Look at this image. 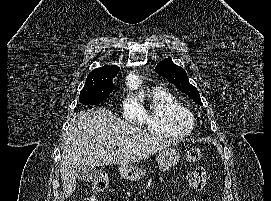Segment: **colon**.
Returning <instances> with one entry per match:
<instances>
[{
  "label": "colon",
  "mask_w": 271,
  "mask_h": 201,
  "mask_svg": "<svg viewBox=\"0 0 271 201\" xmlns=\"http://www.w3.org/2000/svg\"><path fill=\"white\" fill-rule=\"evenodd\" d=\"M186 157L190 163L197 162L201 158V150L198 147L190 148ZM108 185L109 181L106 177H99L94 180L91 185L92 194L85 201H96V196L103 193Z\"/></svg>",
  "instance_id": "1"
}]
</instances>
